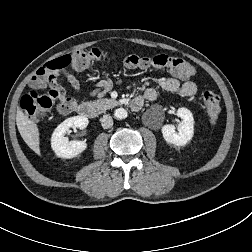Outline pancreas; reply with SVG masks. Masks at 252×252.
<instances>
[{"mask_svg": "<svg viewBox=\"0 0 252 252\" xmlns=\"http://www.w3.org/2000/svg\"><path fill=\"white\" fill-rule=\"evenodd\" d=\"M93 105L96 107L99 113H104L106 110L119 105V102L114 99L103 98L94 101Z\"/></svg>", "mask_w": 252, "mask_h": 252, "instance_id": "pancreas-1", "label": "pancreas"}]
</instances>
